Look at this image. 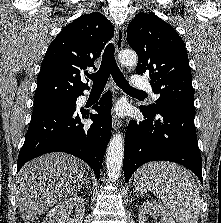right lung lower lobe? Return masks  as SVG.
Here are the masks:
<instances>
[{
	"instance_id": "obj_1",
	"label": "right lung lower lobe",
	"mask_w": 221,
	"mask_h": 223,
	"mask_svg": "<svg viewBox=\"0 0 221 223\" xmlns=\"http://www.w3.org/2000/svg\"><path fill=\"white\" fill-rule=\"evenodd\" d=\"M111 92L93 106L98 114L74 106L57 107L32 114L25 142L19 152L17 171L27 162L49 152H66L85 161L97 178L111 136ZM91 119L90 126L83 120Z\"/></svg>"
}]
</instances>
